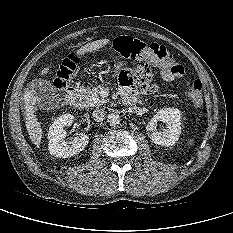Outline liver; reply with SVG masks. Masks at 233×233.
I'll return each mask as SVG.
<instances>
[{
	"instance_id": "liver-1",
	"label": "liver",
	"mask_w": 233,
	"mask_h": 233,
	"mask_svg": "<svg viewBox=\"0 0 233 233\" xmlns=\"http://www.w3.org/2000/svg\"><path fill=\"white\" fill-rule=\"evenodd\" d=\"M110 42L109 39H100L88 43L82 46L80 49L77 50L76 55H84L85 53L92 52L94 50H98ZM49 71V67H46L42 70L41 75L47 74ZM31 87V86H30ZM24 109H25V125L27 132L29 134L30 139L32 142L39 147L43 135V131L41 128V124L36 118L35 115V105L39 102V98L36 96L34 90L27 89L24 94Z\"/></svg>"
}]
</instances>
